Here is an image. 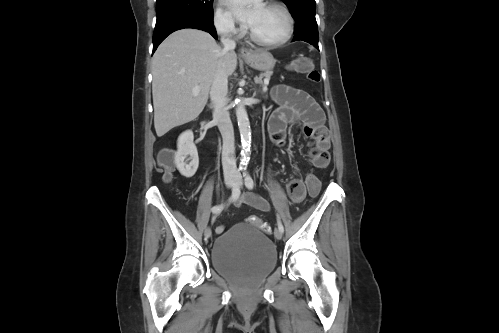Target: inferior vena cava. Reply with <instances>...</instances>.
Masks as SVG:
<instances>
[{"instance_id":"1","label":"inferior vena cava","mask_w":499,"mask_h":333,"mask_svg":"<svg viewBox=\"0 0 499 333\" xmlns=\"http://www.w3.org/2000/svg\"><path fill=\"white\" fill-rule=\"evenodd\" d=\"M232 27L229 24L225 28ZM221 42L225 51L233 50L236 47L235 41L229 37H222ZM228 79L224 70L219 66L211 85L210 99L213 108V119L217 123L223 139L222 166L224 174L237 173L236 161L233 157L235 153L234 130L228 111Z\"/></svg>"}]
</instances>
